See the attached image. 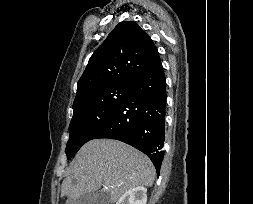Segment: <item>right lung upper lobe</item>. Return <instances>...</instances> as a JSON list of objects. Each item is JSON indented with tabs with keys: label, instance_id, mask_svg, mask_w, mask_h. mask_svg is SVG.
<instances>
[{
	"label": "right lung upper lobe",
	"instance_id": "right-lung-upper-lobe-1",
	"mask_svg": "<svg viewBox=\"0 0 253 204\" xmlns=\"http://www.w3.org/2000/svg\"><path fill=\"white\" fill-rule=\"evenodd\" d=\"M158 56L151 38L135 22L119 23L89 59L74 102L110 85L132 84Z\"/></svg>",
	"mask_w": 253,
	"mask_h": 204
}]
</instances>
